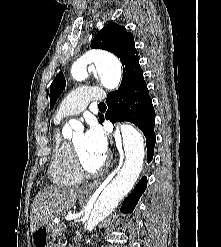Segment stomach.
Masks as SVG:
<instances>
[{"instance_id":"stomach-1","label":"stomach","mask_w":221,"mask_h":247,"mask_svg":"<svg viewBox=\"0 0 221 247\" xmlns=\"http://www.w3.org/2000/svg\"><path fill=\"white\" fill-rule=\"evenodd\" d=\"M85 198V195H79L81 201ZM54 240L55 234L53 232L52 224L47 223L41 225L32 232V243L34 247H52Z\"/></svg>"}]
</instances>
